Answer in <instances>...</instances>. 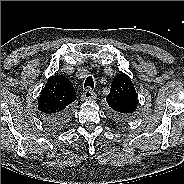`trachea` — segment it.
<instances>
[{"mask_svg": "<svg viewBox=\"0 0 184 184\" xmlns=\"http://www.w3.org/2000/svg\"><path fill=\"white\" fill-rule=\"evenodd\" d=\"M84 87H90L91 89L94 88V81H93V78L92 76H88L85 80V83H84Z\"/></svg>", "mask_w": 184, "mask_h": 184, "instance_id": "1", "label": "trachea"}]
</instances>
